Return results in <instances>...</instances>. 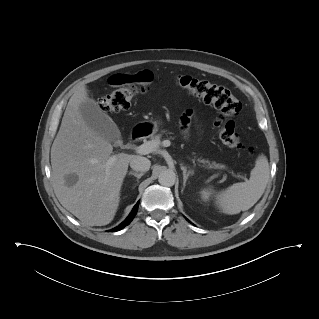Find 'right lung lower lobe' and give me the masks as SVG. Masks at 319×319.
I'll return each instance as SVG.
<instances>
[{
  "label": "right lung lower lobe",
  "instance_id": "1",
  "mask_svg": "<svg viewBox=\"0 0 319 319\" xmlns=\"http://www.w3.org/2000/svg\"><path fill=\"white\" fill-rule=\"evenodd\" d=\"M138 210V203L134 206L133 210L131 211V213L129 214V216L125 219L124 222H122L119 226H117L116 228L110 230L112 232H116L121 230L122 228H124L125 226L129 225L130 222L133 220V218L135 217L136 213Z\"/></svg>",
  "mask_w": 319,
  "mask_h": 319
}]
</instances>
